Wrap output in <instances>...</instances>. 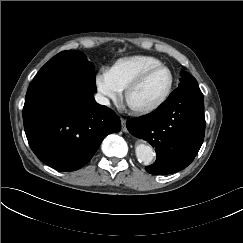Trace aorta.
<instances>
[{"label":"aorta","instance_id":"1","mask_svg":"<svg viewBox=\"0 0 243 243\" xmlns=\"http://www.w3.org/2000/svg\"><path fill=\"white\" fill-rule=\"evenodd\" d=\"M137 159L140 162L149 164L154 158V151L150 145L140 143L135 148Z\"/></svg>","mask_w":243,"mask_h":243}]
</instances>
